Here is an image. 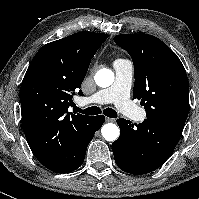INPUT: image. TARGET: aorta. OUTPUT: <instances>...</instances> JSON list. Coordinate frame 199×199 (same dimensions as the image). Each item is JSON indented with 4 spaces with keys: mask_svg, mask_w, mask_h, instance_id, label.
<instances>
[{
    "mask_svg": "<svg viewBox=\"0 0 199 199\" xmlns=\"http://www.w3.org/2000/svg\"><path fill=\"white\" fill-rule=\"evenodd\" d=\"M94 79L98 86L106 88L113 83L114 73L110 69L102 68L96 72ZM101 132L107 141H115L119 136V128L113 123L105 124Z\"/></svg>",
    "mask_w": 199,
    "mask_h": 199,
    "instance_id": "obj_1",
    "label": "aorta"
}]
</instances>
